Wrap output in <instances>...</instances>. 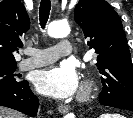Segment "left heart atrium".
<instances>
[{"mask_svg":"<svg viewBox=\"0 0 133 118\" xmlns=\"http://www.w3.org/2000/svg\"><path fill=\"white\" fill-rule=\"evenodd\" d=\"M34 84L39 93L64 99L77 92L79 79L76 70L71 65L61 64L39 71Z\"/></svg>","mask_w":133,"mask_h":118,"instance_id":"left-heart-atrium-1","label":"left heart atrium"}]
</instances>
